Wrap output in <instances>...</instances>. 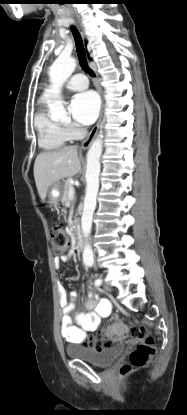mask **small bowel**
<instances>
[{"label": "small bowel", "instance_id": "obj_1", "mask_svg": "<svg viewBox=\"0 0 187 415\" xmlns=\"http://www.w3.org/2000/svg\"><path fill=\"white\" fill-rule=\"evenodd\" d=\"M70 255H61L54 259L55 266L59 268L69 261ZM59 302L62 309L61 335L70 344H82L87 334L95 331L103 318L111 313V302L106 298H100L95 292L89 291L85 301L86 312L77 315L75 321L71 313L75 310L76 293H67L63 287H59ZM113 322H116L114 320Z\"/></svg>", "mask_w": 187, "mask_h": 415}]
</instances>
